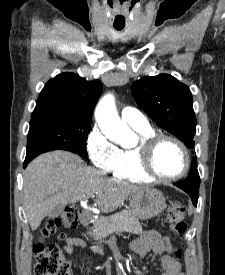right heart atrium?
Returning <instances> with one entry per match:
<instances>
[{
    "label": "right heart atrium",
    "instance_id": "right-heart-atrium-1",
    "mask_svg": "<svg viewBox=\"0 0 225 275\" xmlns=\"http://www.w3.org/2000/svg\"><path fill=\"white\" fill-rule=\"evenodd\" d=\"M86 148L92 164L102 172H111L119 159L120 149L98 127L90 132Z\"/></svg>",
    "mask_w": 225,
    "mask_h": 275
}]
</instances>
